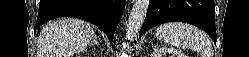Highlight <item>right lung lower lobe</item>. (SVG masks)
Returning a JSON list of instances; mask_svg holds the SVG:
<instances>
[{"label":"right lung lower lobe","mask_w":249,"mask_h":57,"mask_svg":"<svg viewBox=\"0 0 249 57\" xmlns=\"http://www.w3.org/2000/svg\"><path fill=\"white\" fill-rule=\"evenodd\" d=\"M125 0H40L34 30L57 17H75L98 26L112 42Z\"/></svg>","instance_id":"right-lung-lower-lobe-1"}]
</instances>
